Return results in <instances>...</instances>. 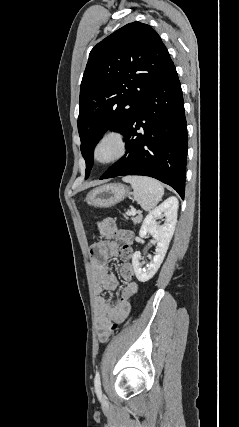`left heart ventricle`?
I'll use <instances>...</instances> for the list:
<instances>
[{
  "label": "left heart ventricle",
  "mask_w": 239,
  "mask_h": 427,
  "mask_svg": "<svg viewBox=\"0 0 239 427\" xmlns=\"http://www.w3.org/2000/svg\"><path fill=\"white\" fill-rule=\"evenodd\" d=\"M118 152V144L114 140H107L101 144L98 149V157L100 160H108L113 158Z\"/></svg>",
  "instance_id": "obj_1"
}]
</instances>
